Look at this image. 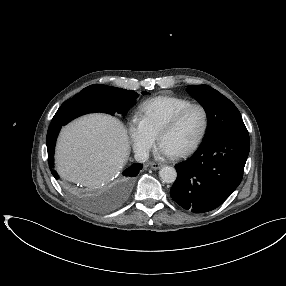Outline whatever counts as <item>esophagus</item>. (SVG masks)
I'll return each instance as SVG.
<instances>
[{
	"label": "esophagus",
	"instance_id": "1",
	"mask_svg": "<svg viewBox=\"0 0 286 286\" xmlns=\"http://www.w3.org/2000/svg\"><path fill=\"white\" fill-rule=\"evenodd\" d=\"M163 165L161 163H151L150 167L154 170H158L162 167Z\"/></svg>",
	"mask_w": 286,
	"mask_h": 286
}]
</instances>
